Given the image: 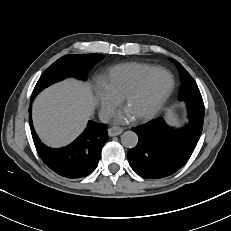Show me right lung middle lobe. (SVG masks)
Masks as SVG:
<instances>
[{
	"label": "right lung middle lobe",
	"mask_w": 231,
	"mask_h": 231,
	"mask_svg": "<svg viewBox=\"0 0 231 231\" xmlns=\"http://www.w3.org/2000/svg\"><path fill=\"white\" fill-rule=\"evenodd\" d=\"M103 58L100 54H70L61 57L41 75L33 90L32 99L44 88L66 77L85 78L87 71Z\"/></svg>",
	"instance_id": "obj_1"
}]
</instances>
